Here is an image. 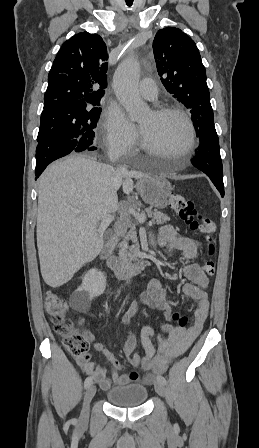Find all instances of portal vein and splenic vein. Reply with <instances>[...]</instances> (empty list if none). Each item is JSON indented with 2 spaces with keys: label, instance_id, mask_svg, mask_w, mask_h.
Instances as JSON below:
<instances>
[{
  "label": "portal vein and splenic vein",
  "instance_id": "obj_1",
  "mask_svg": "<svg viewBox=\"0 0 259 448\" xmlns=\"http://www.w3.org/2000/svg\"><path fill=\"white\" fill-rule=\"evenodd\" d=\"M74 214H81V212H80V210H74ZM113 220H115V216H110V214H108V216H105V218H103V220L101 222L99 232H101V234H103V232H105L106 228H108L109 224H111V222H113Z\"/></svg>",
  "mask_w": 259,
  "mask_h": 448
}]
</instances>
